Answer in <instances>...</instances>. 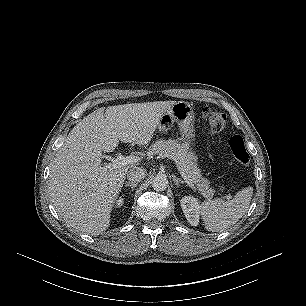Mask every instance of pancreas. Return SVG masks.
I'll list each match as a JSON object with an SVG mask.
<instances>
[{"mask_svg":"<svg viewBox=\"0 0 306 306\" xmlns=\"http://www.w3.org/2000/svg\"><path fill=\"white\" fill-rule=\"evenodd\" d=\"M148 153L151 155H164L173 159L190 179L196 190L207 199L213 197L215 191L209 188L210 182L201 175L195 155L183 144L173 139H159L148 148Z\"/></svg>","mask_w":306,"mask_h":306,"instance_id":"pancreas-1","label":"pancreas"}]
</instances>
